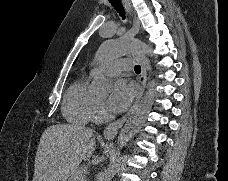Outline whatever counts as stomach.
Instances as JSON below:
<instances>
[{
	"label": "stomach",
	"mask_w": 228,
	"mask_h": 181,
	"mask_svg": "<svg viewBox=\"0 0 228 181\" xmlns=\"http://www.w3.org/2000/svg\"><path fill=\"white\" fill-rule=\"evenodd\" d=\"M106 139H113V137H109V135H105Z\"/></svg>",
	"instance_id": "obj_1"
}]
</instances>
